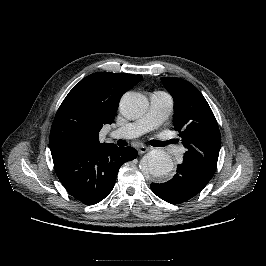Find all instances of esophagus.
I'll return each mask as SVG.
<instances>
[{
    "label": "esophagus",
    "instance_id": "1",
    "mask_svg": "<svg viewBox=\"0 0 266 266\" xmlns=\"http://www.w3.org/2000/svg\"><path fill=\"white\" fill-rule=\"evenodd\" d=\"M137 151L139 154H143V153H146L148 151V148L145 146H138Z\"/></svg>",
    "mask_w": 266,
    "mask_h": 266
}]
</instances>
